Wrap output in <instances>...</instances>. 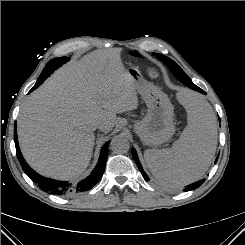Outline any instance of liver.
Wrapping results in <instances>:
<instances>
[{"mask_svg":"<svg viewBox=\"0 0 245 245\" xmlns=\"http://www.w3.org/2000/svg\"><path fill=\"white\" fill-rule=\"evenodd\" d=\"M121 48L93 51L56 71L21 107L17 132L22 154L38 173L60 180L87 168L96 125L110 132L116 113L138 107L137 89Z\"/></svg>","mask_w":245,"mask_h":245,"instance_id":"6515ba94","label":"liver"}]
</instances>
